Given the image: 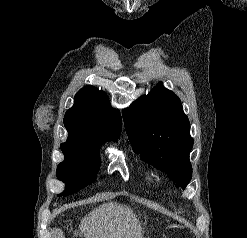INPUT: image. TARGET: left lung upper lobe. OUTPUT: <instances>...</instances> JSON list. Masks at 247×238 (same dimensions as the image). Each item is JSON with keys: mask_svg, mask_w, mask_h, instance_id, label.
I'll use <instances>...</instances> for the list:
<instances>
[{"mask_svg": "<svg viewBox=\"0 0 247 238\" xmlns=\"http://www.w3.org/2000/svg\"><path fill=\"white\" fill-rule=\"evenodd\" d=\"M123 118L134 152L185 189L192 177L189 153L193 140L178 96L158 83L125 109Z\"/></svg>", "mask_w": 247, "mask_h": 238, "instance_id": "obj_1", "label": "left lung upper lobe"}]
</instances>
